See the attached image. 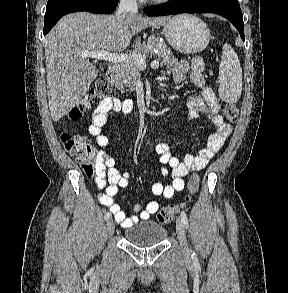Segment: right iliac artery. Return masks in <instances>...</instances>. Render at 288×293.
Returning <instances> with one entry per match:
<instances>
[{
    "instance_id": "obj_1",
    "label": "right iliac artery",
    "mask_w": 288,
    "mask_h": 293,
    "mask_svg": "<svg viewBox=\"0 0 288 293\" xmlns=\"http://www.w3.org/2000/svg\"><path fill=\"white\" fill-rule=\"evenodd\" d=\"M111 217V213L107 212L104 216L105 220H108Z\"/></svg>"
}]
</instances>
